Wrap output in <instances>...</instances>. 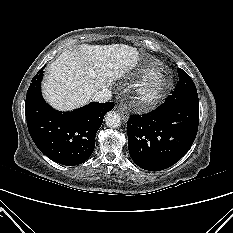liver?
<instances>
[{
    "label": "liver",
    "instance_id": "6515ba94",
    "mask_svg": "<svg viewBox=\"0 0 233 233\" xmlns=\"http://www.w3.org/2000/svg\"><path fill=\"white\" fill-rule=\"evenodd\" d=\"M138 60L136 48L124 44L79 45L50 64L43 84L48 103L61 111L85 105Z\"/></svg>",
    "mask_w": 233,
    "mask_h": 233
}]
</instances>
